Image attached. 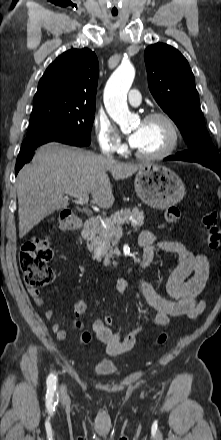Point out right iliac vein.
<instances>
[{
    "label": "right iliac vein",
    "instance_id": "right-iliac-vein-1",
    "mask_svg": "<svg viewBox=\"0 0 221 440\" xmlns=\"http://www.w3.org/2000/svg\"><path fill=\"white\" fill-rule=\"evenodd\" d=\"M61 394H62L63 397L66 396V388H65V386L61 387Z\"/></svg>",
    "mask_w": 221,
    "mask_h": 440
}]
</instances>
